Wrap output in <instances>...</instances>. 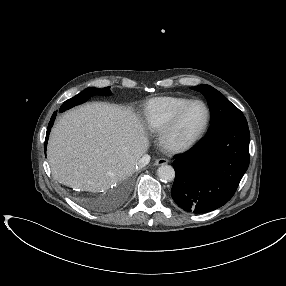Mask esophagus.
<instances>
[{"label": "esophagus", "mask_w": 286, "mask_h": 286, "mask_svg": "<svg viewBox=\"0 0 286 286\" xmlns=\"http://www.w3.org/2000/svg\"><path fill=\"white\" fill-rule=\"evenodd\" d=\"M168 162H169L168 159H166V158H160V159H157V160L155 161V165H156V166L165 165V164H167Z\"/></svg>", "instance_id": "34e87169"}]
</instances>
